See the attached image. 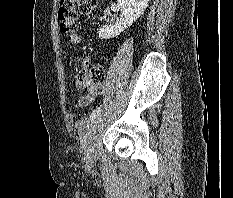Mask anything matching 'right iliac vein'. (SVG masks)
Here are the masks:
<instances>
[{
  "instance_id": "right-iliac-vein-1",
  "label": "right iliac vein",
  "mask_w": 233,
  "mask_h": 198,
  "mask_svg": "<svg viewBox=\"0 0 233 198\" xmlns=\"http://www.w3.org/2000/svg\"><path fill=\"white\" fill-rule=\"evenodd\" d=\"M93 157L96 159V158H97V155L95 154Z\"/></svg>"
}]
</instances>
